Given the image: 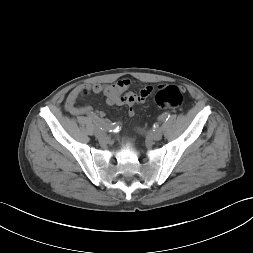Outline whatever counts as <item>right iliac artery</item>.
I'll return each mask as SVG.
<instances>
[{"label":"right iliac artery","mask_w":253,"mask_h":253,"mask_svg":"<svg viewBox=\"0 0 253 253\" xmlns=\"http://www.w3.org/2000/svg\"><path fill=\"white\" fill-rule=\"evenodd\" d=\"M90 119L95 123L96 126L105 129H108L110 132H116L120 129L119 124L117 123H109L104 122L103 120L99 119L97 116H91Z\"/></svg>","instance_id":"82829eb1"}]
</instances>
